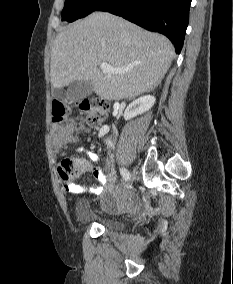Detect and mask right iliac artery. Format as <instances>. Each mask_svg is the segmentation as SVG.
<instances>
[{
	"label": "right iliac artery",
	"mask_w": 233,
	"mask_h": 284,
	"mask_svg": "<svg viewBox=\"0 0 233 284\" xmlns=\"http://www.w3.org/2000/svg\"><path fill=\"white\" fill-rule=\"evenodd\" d=\"M106 143H107L108 146H110V147L113 146V143H112L109 139L106 140ZM120 173H121L123 179H124L125 181H127V177H129V172H128V170L125 169V168H121V169H120Z\"/></svg>",
	"instance_id": "82829eb1"
}]
</instances>
